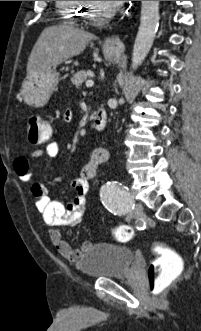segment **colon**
I'll return each mask as SVG.
<instances>
[{
  "label": "colon",
  "mask_w": 201,
  "mask_h": 331,
  "mask_svg": "<svg viewBox=\"0 0 201 331\" xmlns=\"http://www.w3.org/2000/svg\"><path fill=\"white\" fill-rule=\"evenodd\" d=\"M28 139L32 144L46 143L51 137L49 123L39 116H31L27 121ZM113 236L119 241H128L134 236V229L129 225H119L113 229ZM157 258L148 267V284L152 295L164 301L175 281L183 271L181 257L163 244L155 246Z\"/></svg>",
  "instance_id": "colon-1"
}]
</instances>
